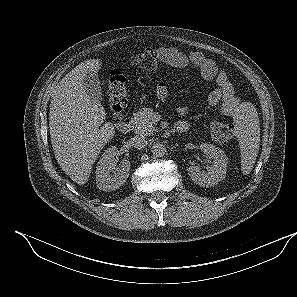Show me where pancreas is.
<instances>
[{"label":"pancreas","mask_w":297,"mask_h":297,"mask_svg":"<svg viewBox=\"0 0 297 297\" xmlns=\"http://www.w3.org/2000/svg\"><path fill=\"white\" fill-rule=\"evenodd\" d=\"M153 110L151 108H144L134 114L131 119V124L133 125L136 133L144 135H152L157 131L155 127V122L153 120Z\"/></svg>","instance_id":"obj_1"}]
</instances>
